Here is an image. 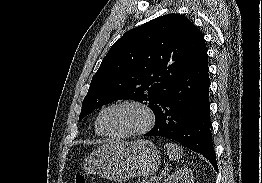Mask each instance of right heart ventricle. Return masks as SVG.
Returning a JSON list of instances; mask_svg holds the SVG:
<instances>
[{"instance_id":"e07e8e85","label":"right heart ventricle","mask_w":262,"mask_h":183,"mask_svg":"<svg viewBox=\"0 0 262 183\" xmlns=\"http://www.w3.org/2000/svg\"><path fill=\"white\" fill-rule=\"evenodd\" d=\"M95 133H96V135H98V136H101V135H102V134L98 131L97 128L95 129Z\"/></svg>"}]
</instances>
